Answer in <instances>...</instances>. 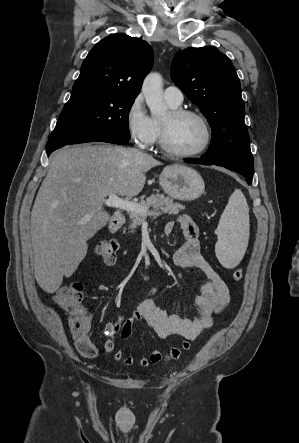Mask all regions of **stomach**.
Returning <instances> with one entry per match:
<instances>
[{"mask_svg":"<svg viewBox=\"0 0 299 443\" xmlns=\"http://www.w3.org/2000/svg\"><path fill=\"white\" fill-rule=\"evenodd\" d=\"M159 184L168 196L181 201L195 200L205 189L201 175L180 164L165 167L159 176Z\"/></svg>","mask_w":299,"mask_h":443,"instance_id":"0dacf381","label":"stomach"}]
</instances>
